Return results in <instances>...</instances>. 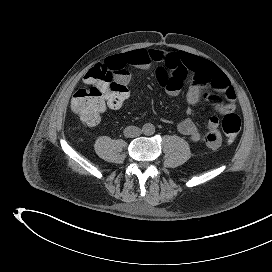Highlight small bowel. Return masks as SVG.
Here are the masks:
<instances>
[{
  "instance_id": "c3829d8e",
  "label": "small bowel",
  "mask_w": 272,
  "mask_h": 272,
  "mask_svg": "<svg viewBox=\"0 0 272 272\" xmlns=\"http://www.w3.org/2000/svg\"><path fill=\"white\" fill-rule=\"evenodd\" d=\"M102 65L123 67L125 73L119 77L127 83L133 80L126 70L127 66L147 70L156 65L157 78L167 95H179L189 78L190 84L185 93L189 104L193 105L204 99L221 115L232 113L236 108V92L225 73L213 63L188 52L168 53L158 49H136L112 55ZM208 87L213 88L218 95L209 93ZM177 129L193 142H202L211 149L221 146L222 137L219 132V119L216 116L208 118L205 133L188 117L178 122Z\"/></svg>"
}]
</instances>
